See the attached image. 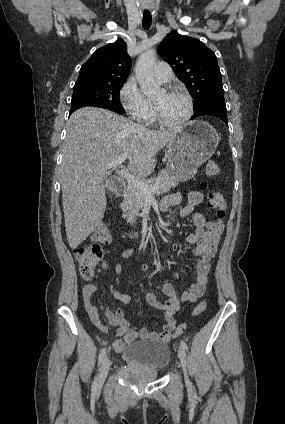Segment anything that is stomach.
I'll return each mask as SVG.
<instances>
[{
    "mask_svg": "<svg viewBox=\"0 0 285 424\" xmlns=\"http://www.w3.org/2000/svg\"><path fill=\"white\" fill-rule=\"evenodd\" d=\"M219 136L214 127L201 120L187 123L167 148L166 170L178 182L191 179L215 152Z\"/></svg>",
    "mask_w": 285,
    "mask_h": 424,
    "instance_id": "1",
    "label": "stomach"
}]
</instances>
